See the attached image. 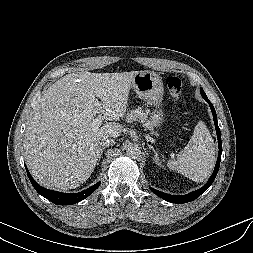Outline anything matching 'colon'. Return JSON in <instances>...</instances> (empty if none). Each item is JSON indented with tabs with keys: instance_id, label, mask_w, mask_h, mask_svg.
Wrapping results in <instances>:
<instances>
[{
	"instance_id": "obj_1",
	"label": "colon",
	"mask_w": 253,
	"mask_h": 253,
	"mask_svg": "<svg viewBox=\"0 0 253 253\" xmlns=\"http://www.w3.org/2000/svg\"><path fill=\"white\" fill-rule=\"evenodd\" d=\"M166 86L173 98L179 99L182 94V81L176 76L166 78Z\"/></svg>"
}]
</instances>
